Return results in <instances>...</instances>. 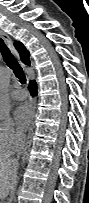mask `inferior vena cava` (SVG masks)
I'll list each match as a JSON object with an SVG mask.
<instances>
[{
	"instance_id": "obj_1",
	"label": "inferior vena cava",
	"mask_w": 89,
	"mask_h": 203,
	"mask_svg": "<svg viewBox=\"0 0 89 203\" xmlns=\"http://www.w3.org/2000/svg\"><path fill=\"white\" fill-rule=\"evenodd\" d=\"M19 143H20V147H21V152L18 154L17 156V160L20 157V154L25 150V146H26V141H25V137H19Z\"/></svg>"
}]
</instances>
